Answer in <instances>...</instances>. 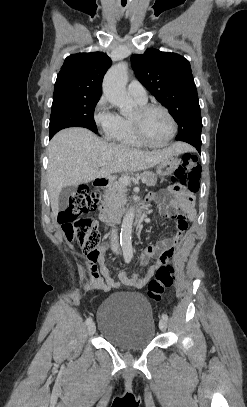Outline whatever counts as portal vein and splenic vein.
I'll return each instance as SVG.
<instances>
[{"label": "portal vein and splenic vein", "instance_id": "obj_1", "mask_svg": "<svg viewBox=\"0 0 247 407\" xmlns=\"http://www.w3.org/2000/svg\"><path fill=\"white\" fill-rule=\"evenodd\" d=\"M106 164H107L106 162H103L100 164V166H105ZM119 181H121L124 184H128L130 182V178L128 176H124L120 178ZM142 182L145 183V179H142Z\"/></svg>", "mask_w": 247, "mask_h": 407}]
</instances>
